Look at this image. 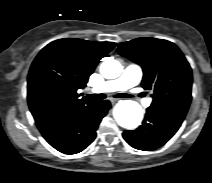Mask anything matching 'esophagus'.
Segmentation results:
<instances>
[{
  "label": "esophagus",
  "instance_id": "obj_1",
  "mask_svg": "<svg viewBox=\"0 0 212 183\" xmlns=\"http://www.w3.org/2000/svg\"><path fill=\"white\" fill-rule=\"evenodd\" d=\"M110 101H111L112 104H114V103H116L117 101H119V99L111 98Z\"/></svg>",
  "mask_w": 212,
  "mask_h": 183
}]
</instances>
